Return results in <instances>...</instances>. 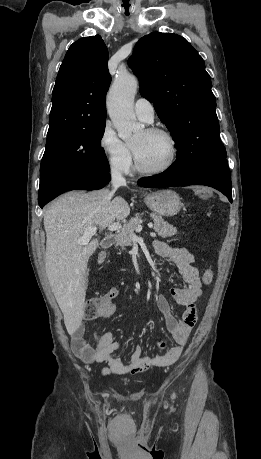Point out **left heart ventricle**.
Wrapping results in <instances>:
<instances>
[{
  "label": "left heart ventricle",
  "mask_w": 261,
  "mask_h": 459,
  "mask_svg": "<svg viewBox=\"0 0 261 459\" xmlns=\"http://www.w3.org/2000/svg\"><path fill=\"white\" fill-rule=\"evenodd\" d=\"M131 147L139 164L144 168L160 167L169 159V142L161 135L142 131L133 139Z\"/></svg>",
  "instance_id": "b2bd125f"
}]
</instances>
